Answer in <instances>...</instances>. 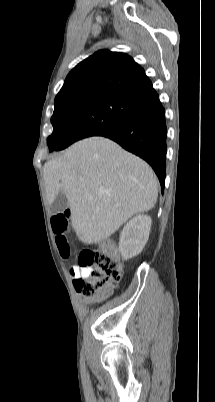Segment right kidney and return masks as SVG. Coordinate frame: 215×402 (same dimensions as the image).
<instances>
[{"label": "right kidney", "instance_id": "ca27d5eb", "mask_svg": "<svg viewBox=\"0 0 215 402\" xmlns=\"http://www.w3.org/2000/svg\"><path fill=\"white\" fill-rule=\"evenodd\" d=\"M152 220L147 215H138L123 228L119 241V251L124 260L137 256L146 245Z\"/></svg>", "mask_w": 215, "mask_h": 402}]
</instances>
